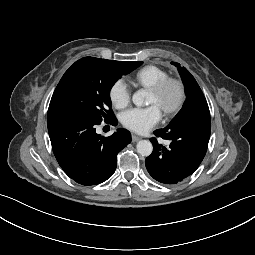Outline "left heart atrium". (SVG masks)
<instances>
[{
	"instance_id": "left-heart-atrium-1",
	"label": "left heart atrium",
	"mask_w": 255,
	"mask_h": 255,
	"mask_svg": "<svg viewBox=\"0 0 255 255\" xmlns=\"http://www.w3.org/2000/svg\"><path fill=\"white\" fill-rule=\"evenodd\" d=\"M162 118L161 109L152 104L146 108H132L121 115L123 126L136 133H146Z\"/></svg>"
}]
</instances>
